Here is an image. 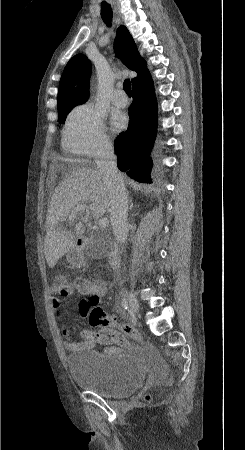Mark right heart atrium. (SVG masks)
I'll list each match as a JSON object with an SVG mask.
<instances>
[{
    "label": "right heart atrium",
    "instance_id": "obj_1",
    "mask_svg": "<svg viewBox=\"0 0 245 450\" xmlns=\"http://www.w3.org/2000/svg\"><path fill=\"white\" fill-rule=\"evenodd\" d=\"M62 145L68 153L83 157H95L111 146L102 113L91 103L75 107L67 116Z\"/></svg>",
    "mask_w": 245,
    "mask_h": 450
}]
</instances>
